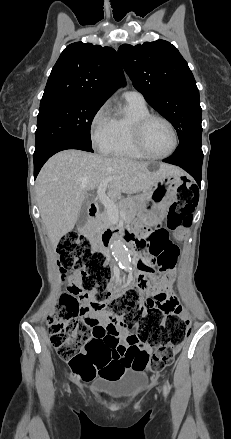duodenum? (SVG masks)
Wrapping results in <instances>:
<instances>
[{
    "label": "duodenum",
    "instance_id": "1",
    "mask_svg": "<svg viewBox=\"0 0 231 439\" xmlns=\"http://www.w3.org/2000/svg\"><path fill=\"white\" fill-rule=\"evenodd\" d=\"M96 213H97V205L95 203H90L89 204V214H90V218L91 220H94L96 217ZM115 231H111L109 229L104 230L100 236V241H101V245L102 247L106 248L108 247L111 239L115 236ZM129 234L125 235V239L126 241L130 242V238L128 236Z\"/></svg>",
    "mask_w": 231,
    "mask_h": 439
}]
</instances>
